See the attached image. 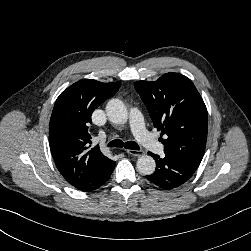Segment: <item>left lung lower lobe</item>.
Here are the masks:
<instances>
[{
    "label": "left lung lower lobe",
    "mask_w": 251,
    "mask_h": 251,
    "mask_svg": "<svg viewBox=\"0 0 251 251\" xmlns=\"http://www.w3.org/2000/svg\"><path fill=\"white\" fill-rule=\"evenodd\" d=\"M148 154L155 159L156 170L146 178L162 189L170 190L181 186L192 177L197 169L196 166L181 158L169 155L160 158L151 152Z\"/></svg>",
    "instance_id": "obj_1"
}]
</instances>
